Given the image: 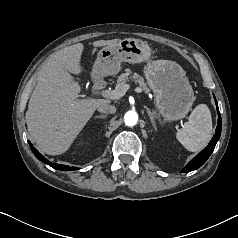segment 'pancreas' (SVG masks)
Segmentation results:
<instances>
[{"label": "pancreas", "mask_w": 238, "mask_h": 238, "mask_svg": "<svg viewBox=\"0 0 238 238\" xmlns=\"http://www.w3.org/2000/svg\"><path fill=\"white\" fill-rule=\"evenodd\" d=\"M132 74L131 70L127 69L125 73H122L118 79L116 84V89H122L127 81L129 80V76ZM131 79L140 86L142 90L146 93L149 92L147 84L145 83L144 79L137 73H133Z\"/></svg>", "instance_id": "cf45deb5"}]
</instances>
